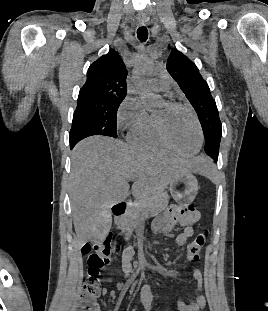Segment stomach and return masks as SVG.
Returning <instances> with one entry per match:
<instances>
[{
    "label": "stomach",
    "instance_id": "0dacf381",
    "mask_svg": "<svg viewBox=\"0 0 268 311\" xmlns=\"http://www.w3.org/2000/svg\"><path fill=\"white\" fill-rule=\"evenodd\" d=\"M169 190L176 202L185 205L193 202L195 199L198 191V182L191 172H187L172 180Z\"/></svg>",
    "mask_w": 268,
    "mask_h": 311
}]
</instances>
